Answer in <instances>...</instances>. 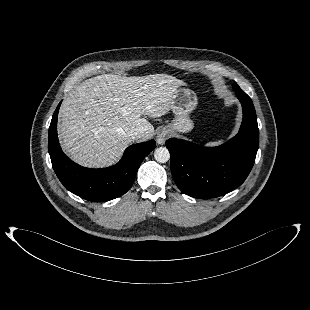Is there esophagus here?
Wrapping results in <instances>:
<instances>
[{
  "label": "esophagus",
  "mask_w": 310,
  "mask_h": 310,
  "mask_svg": "<svg viewBox=\"0 0 310 310\" xmlns=\"http://www.w3.org/2000/svg\"><path fill=\"white\" fill-rule=\"evenodd\" d=\"M168 136H169V133L167 130L165 129L161 130L157 135V143L160 145L164 144Z\"/></svg>",
  "instance_id": "1"
}]
</instances>
